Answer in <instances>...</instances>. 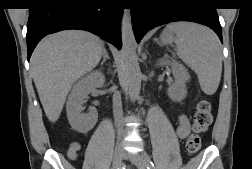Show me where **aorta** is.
<instances>
[{
	"label": "aorta",
	"instance_id": "1",
	"mask_svg": "<svg viewBox=\"0 0 252 169\" xmlns=\"http://www.w3.org/2000/svg\"><path fill=\"white\" fill-rule=\"evenodd\" d=\"M136 41L131 30L124 34L122 54L125 60L124 69L127 75L129 96L132 102L139 98L141 90V71L133 64L135 56Z\"/></svg>",
	"mask_w": 252,
	"mask_h": 169
}]
</instances>
